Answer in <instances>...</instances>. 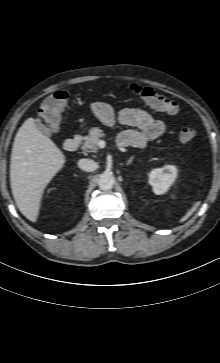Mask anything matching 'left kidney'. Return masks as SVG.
I'll use <instances>...</instances> for the list:
<instances>
[{
	"mask_svg": "<svg viewBox=\"0 0 220 363\" xmlns=\"http://www.w3.org/2000/svg\"><path fill=\"white\" fill-rule=\"evenodd\" d=\"M176 173L177 169L172 165L152 170L148 181L153 188V192L157 195L164 194L173 183Z\"/></svg>",
	"mask_w": 220,
	"mask_h": 363,
	"instance_id": "1",
	"label": "left kidney"
}]
</instances>
